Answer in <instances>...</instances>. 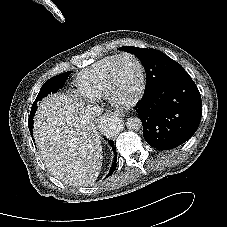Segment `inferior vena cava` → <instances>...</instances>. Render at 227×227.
I'll return each mask as SVG.
<instances>
[{"label": "inferior vena cava", "mask_w": 227, "mask_h": 227, "mask_svg": "<svg viewBox=\"0 0 227 227\" xmlns=\"http://www.w3.org/2000/svg\"><path fill=\"white\" fill-rule=\"evenodd\" d=\"M102 113V109L98 106V105H90L88 106V108L86 109V114L90 117V118H96L99 115H101Z\"/></svg>", "instance_id": "1"}]
</instances>
